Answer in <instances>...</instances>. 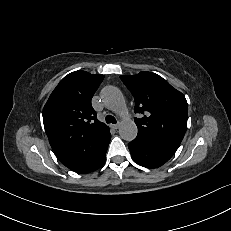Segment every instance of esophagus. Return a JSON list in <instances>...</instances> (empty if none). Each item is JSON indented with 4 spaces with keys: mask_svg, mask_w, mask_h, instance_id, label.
Segmentation results:
<instances>
[{
    "mask_svg": "<svg viewBox=\"0 0 231 231\" xmlns=\"http://www.w3.org/2000/svg\"><path fill=\"white\" fill-rule=\"evenodd\" d=\"M111 128L118 129L119 128V123L118 124H111Z\"/></svg>",
    "mask_w": 231,
    "mask_h": 231,
    "instance_id": "34e87169",
    "label": "esophagus"
}]
</instances>
